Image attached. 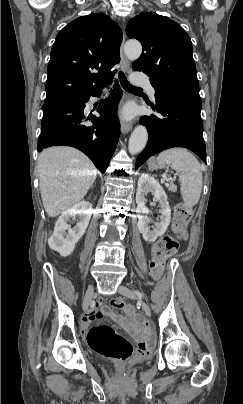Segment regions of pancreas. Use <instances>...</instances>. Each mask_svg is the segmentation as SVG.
<instances>
[{
  "label": "pancreas",
  "mask_w": 243,
  "mask_h": 404,
  "mask_svg": "<svg viewBox=\"0 0 243 404\" xmlns=\"http://www.w3.org/2000/svg\"><path fill=\"white\" fill-rule=\"evenodd\" d=\"M168 190H170V192H177V186H175V184H170Z\"/></svg>",
  "instance_id": "cf45deb5"
}]
</instances>
